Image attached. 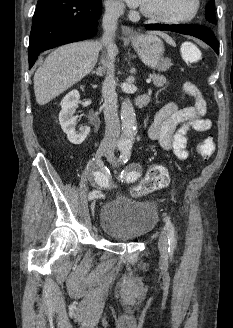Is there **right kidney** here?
<instances>
[{"instance_id": "obj_1", "label": "right kidney", "mask_w": 233, "mask_h": 328, "mask_svg": "<svg viewBox=\"0 0 233 328\" xmlns=\"http://www.w3.org/2000/svg\"><path fill=\"white\" fill-rule=\"evenodd\" d=\"M80 95L77 90H72L62 99L61 112L59 113V123L63 132L67 135L70 143L81 144L90 132V127H84L80 132L75 131V125L78 116H74L76 108H78Z\"/></svg>"}]
</instances>
